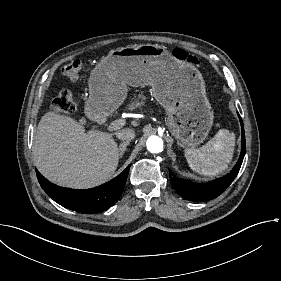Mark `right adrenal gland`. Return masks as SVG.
I'll use <instances>...</instances> for the list:
<instances>
[{"instance_id":"1","label":"right adrenal gland","mask_w":281,"mask_h":281,"mask_svg":"<svg viewBox=\"0 0 281 281\" xmlns=\"http://www.w3.org/2000/svg\"><path fill=\"white\" fill-rule=\"evenodd\" d=\"M128 145H129V141H125L119 145L118 147L119 158L123 157Z\"/></svg>"}]
</instances>
